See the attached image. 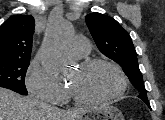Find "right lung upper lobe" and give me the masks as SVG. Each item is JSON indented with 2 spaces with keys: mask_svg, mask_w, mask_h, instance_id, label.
<instances>
[{
  "mask_svg": "<svg viewBox=\"0 0 165 120\" xmlns=\"http://www.w3.org/2000/svg\"><path fill=\"white\" fill-rule=\"evenodd\" d=\"M34 26L31 15L6 20L0 27V58L30 59Z\"/></svg>",
  "mask_w": 165,
  "mask_h": 120,
  "instance_id": "right-lung-upper-lobe-1",
  "label": "right lung upper lobe"
}]
</instances>
